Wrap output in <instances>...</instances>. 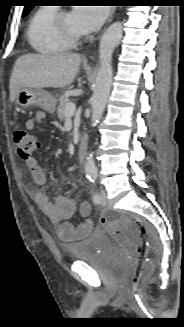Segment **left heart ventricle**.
Segmentation results:
<instances>
[{
  "mask_svg": "<svg viewBox=\"0 0 184 327\" xmlns=\"http://www.w3.org/2000/svg\"><path fill=\"white\" fill-rule=\"evenodd\" d=\"M64 24L67 30L75 34H82L79 30L77 22L72 14V12H68L64 17Z\"/></svg>",
  "mask_w": 184,
  "mask_h": 327,
  "instance_id": "b2bd125f",
  "label": "left heart ventricle"
}]
</instances>
